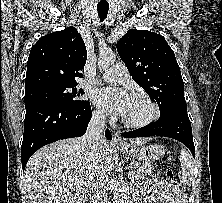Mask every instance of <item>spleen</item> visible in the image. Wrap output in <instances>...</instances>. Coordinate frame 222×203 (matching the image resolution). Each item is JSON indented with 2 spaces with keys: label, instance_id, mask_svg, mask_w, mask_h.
I'll list each match as a JSON object with an SVG mask.
<instances>
[{
  "label": "spleen",
  "instance_id": "1",
  "mask_svg": "<svg viewBox=\"0 0 222 203\" xmlns=\"http://www.w3.org/2000/svg\"><path fill=\"white\" fill-rule=\"evenodd\" d=\"M181 171L178 173L180 181L184 184H190L194 180V164L190 153L182 149L180 152Z\"/></svg>",
  "mask_w": 222,
  "mask_h": 203
}]
</instances>
